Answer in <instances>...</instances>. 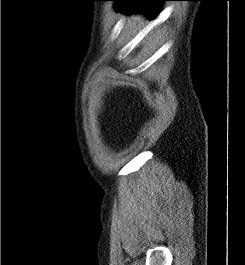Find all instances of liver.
I'll use <instances>...</instances> for the list:
<instances>
[{"label":"liver","instance_id":"obj_1","mask_svg":"<svg viewBox=\"0 0 245 265\" xmlns=\"http://www.w3.org/2000/svg\"><path fill=\"white\" fill-rule=\"evenodd\" d=\"M145 22H147V20L143 15L138 14V15L127 16L124 28L127 30H133L136 29L138 26L144 25Z\"/></svg>","mask_w":245,"mask_h":265}]
</instances>
